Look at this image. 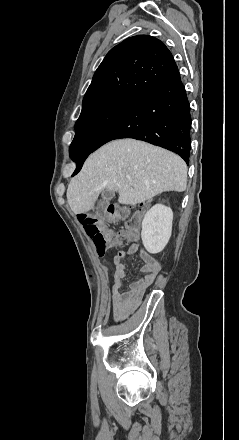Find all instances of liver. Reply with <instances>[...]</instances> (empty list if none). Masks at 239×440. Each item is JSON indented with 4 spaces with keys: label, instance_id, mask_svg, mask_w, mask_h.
<instances>
[{
    "label": "liver",
    "instance_id": "1",
    "mask_svg": "<svg viewBox=\"0 0 239 440\" xmlns=\"http://www.w3.org/2000/svg\"><path fill=\"white\" fill-rule=\"evenodd\" d=\"M128 178H131L128 180ZM187 166L173 152L139 140H114L87 158L71 178L67 202L74 214L94 210L102 190L118 192L119 204H140L161 192H184Z\"/></svg>",
    "mask_w": 239,
    "mask_h": 440
}]
</instances>
